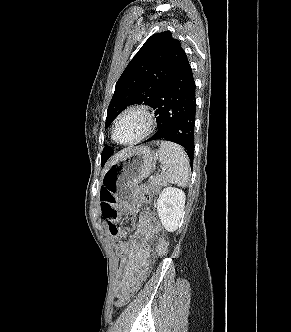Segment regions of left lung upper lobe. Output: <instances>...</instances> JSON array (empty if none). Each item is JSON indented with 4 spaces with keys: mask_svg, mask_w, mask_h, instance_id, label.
<instances>
[{
    "mask_svg": "<svg viewBox=\"0 0 291 332\" xmlns=\"http://www.w3.org/2000/svg\"><path fill=\"white\" fill-rule=\"evenodd\" d=\"M183 54L180 41L174 39L171 32L152 35L129 62L116 83L107 110L105 129L129 105L144 103L153 108ZM112 154L113 150L105 147L101 154V165Z\"/></svg>",
    "mask_w": 291,
    "mask_h": 332,
    "instance_id": "1",
    "label": "left lung upper lobe"
}]
</instances>
